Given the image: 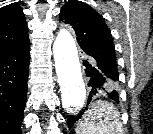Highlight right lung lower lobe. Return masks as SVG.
Segmentation results:
<instances>
[{"instance_id": "right-lung-lower-lobe-1", "label": "right lung lower lobe", "mask_w": 153, "mask_h": 134, "mask_svg": "<svg viewBox=\"0 0 153 134\" xmlns=\"http://www.w3.org/2000/svg\"><path fill=\"white\" fill-rule=\"evenodd\" d=\"M30 42L0 56V134H21Z\"/></svg>"}]
</instances>
